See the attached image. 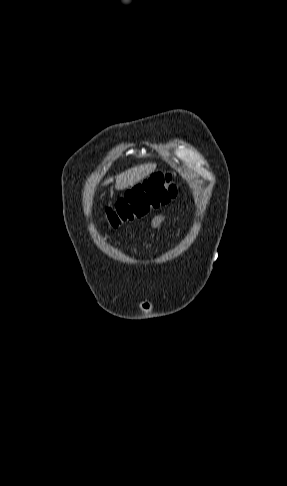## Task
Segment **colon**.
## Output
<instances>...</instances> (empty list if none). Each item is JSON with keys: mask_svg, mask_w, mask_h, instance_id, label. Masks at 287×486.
Segmentation results:
<instances>
[{"mask_svg": "<svg viewBox=\"0 0 287 486\" xmlns=\"http://www.w3.org/2000/svg\"><path fill=\"white\" fill-rule=\"evenodd\" d=\"M180 188L169 173L151 175L129 188L116 202L106 207V217L112 227L141 219L167 204L179 194Z\"/></svg>", "mask_w": 287, "mask_h": 486, "instance_id": "obj_1", "label": "colon"}]
</instances>
